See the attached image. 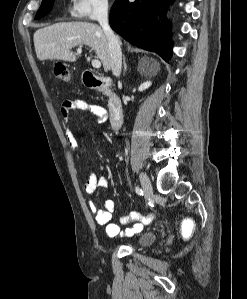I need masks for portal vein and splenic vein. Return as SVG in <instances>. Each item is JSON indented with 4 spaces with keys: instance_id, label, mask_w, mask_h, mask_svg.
I'll list each match as a JSON object with an SVG mask.
<instances>
[{
    "instance_id": "18ae733b",
    "label": "portal vein and splenic vein",
    "mask_w": 247,
    "mask_h": 299,
    "mask_svg": "<svg viewBox=\"0 0 247 299\" xmlns=\"http://www.w3.org/2000/svg\"><path fill=\"white\" fill-rule=\"evenodd\" d=\"M77 52H78V53H81V52H82V48L79 47V48L77 49ZM92 66H93L94 68H100V67H101V62H100L98 59H93V60H92Z\"/></svg>"
}]
</instances>
